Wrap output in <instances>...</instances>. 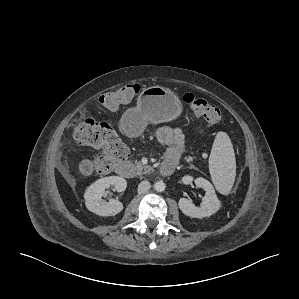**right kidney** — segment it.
Wrapping results in <instances>:
<instances>
[{
    "instance_id": "ca27d5eb",
    "label": "right kidney",
    "mask_w": 299,
    "mask_h": 299,
    "mask_svg": "<svg viewBox=\"0 0 299 299\" xmlns=\"http://www.w3.org/2000/svg\"><path fill=\"white\" fill-rule=\"evenodd\" d=\"M110 186H114L118 192H123L127 182L122 177L108 176L92 183L84 193L85 205L89 211L107 217L115 216L123 210V204L116 199H110L108 202L102 200L105 189Z\"/></svg>"
}]
</instances>
